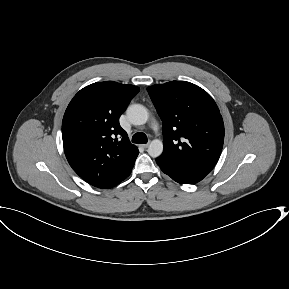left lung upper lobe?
I'll return each mask as SVG.
<instances>
[{
    "instance_id": "1",
    "label": "left lung upper lobe",
    "mask_w": 289,
    "mask_h": 289,
    "mask_svg": "<svg viewBox=\"0 0 289 289\" xmlns=\"http://www.w3.org/2000/svg\"><path fill=\"white\" fill-rule=\"evenodd\" d=\"M163 122L166 168L209 173L224 142V124L213 98L199 86L171 81L147 88Z\"/></svg>"
}]
</instances>
